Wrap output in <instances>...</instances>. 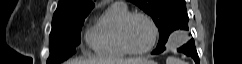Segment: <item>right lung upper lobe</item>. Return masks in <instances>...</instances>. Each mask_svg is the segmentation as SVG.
Instances as JSON below:
<instances>
[{"label": "right lung upper lobe", "mask_w": 242, "mask_h": 64, "mask_svg": "<svg viewBox=\"0 0 242 64\" xmlns=\"http://www.w3.org/2000/svg\"><path fill=\"white\" fill-rule=\"evenodd\" d=\"M94 3L92 0H59L53 15V21L70 19L85 13H90Z\"/></svg>", "instance_id": "cb5924a9"}]
</instances>
